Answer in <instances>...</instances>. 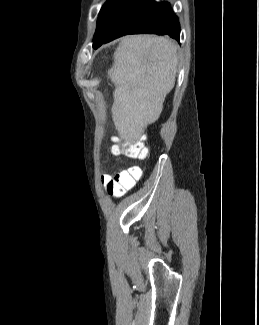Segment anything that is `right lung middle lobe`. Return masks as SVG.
<instances>
[{
	"label": "right lung middle lobe",
	"mask_w": 259,
	"mask_h": 325,
	"mask_svg": "<svg viewBox=\"0 0 259 325\" xmlns=\"http://www.w3.org/2000/svg\"><path fill=\"white\" fill-rule=\"evenodd\" d=\"M134 0H107L98 16L93 47L103 42Z\"/></svg>",
	"instance_id": "1"
}]
</instances>
